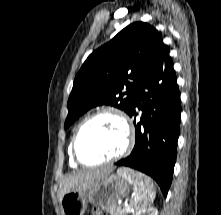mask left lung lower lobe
Returning a JSON list of instances; mask_svg holds the SVG:
<instances>
[{
    "mask_svg": "<svg viewBox=\"0 0 221 215\" xmlns=\"http://www.w3.org/2000/svg\"><path fill=\"white\" fill-rule=\"evenodd\" d=\"M169 50L163 43L135 94L128 114L135 123L136 139L131 154L115 163L152 177L164 195L169 191L176 162L180 132L181 101Z\"/></svg>",
    "mask_w": 221,
    "mask_h": 215,
    "instance_id": "0a47b994",
    "label": "left lung lower lobe"
}]
</instances>
